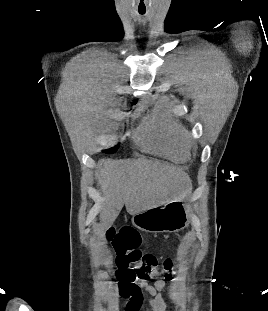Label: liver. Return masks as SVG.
Wrapping results in <instances>:
<instances>
[{"label": "liver", "instance_id": "liver-1", "mask_svg": "<svg viewBox=\"0 0 268 311\" xmlns=\"http://www.w3.org/2000/svg\"><path fill=\"white\" fill-rule=\"evenodd\" d=\"M100 200V227L109 228L124 204L129 214L162 206L183 196L189 178L180 169L156 161L99 160L96 171Z\"/></svg>", "mask_w": 268, "mask_h": 311}]
</instances>
